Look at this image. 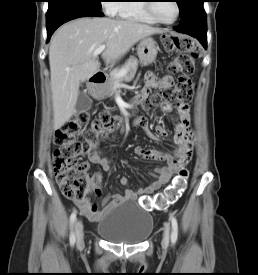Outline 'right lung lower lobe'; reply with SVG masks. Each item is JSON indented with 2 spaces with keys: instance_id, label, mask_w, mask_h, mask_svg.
<instances>
[{
  "instance_id": "obj_1",
  "label": "right lung lower lobe",
  "mask_w": 258,
  "mask_h": 275,
  "mask_svg": "<svg viewBox=\"0 0 258 275\" xmlns=\"http://www.w3.org/2000/svg\"><path fill=\"white\" fill-rule=\"evenodd\" d=\"M86 16H103L100 10L79 5H64L52 10L46 14V28L48 40H50L54 31L63 23Z\"/></svg>"
}]
</instances>
